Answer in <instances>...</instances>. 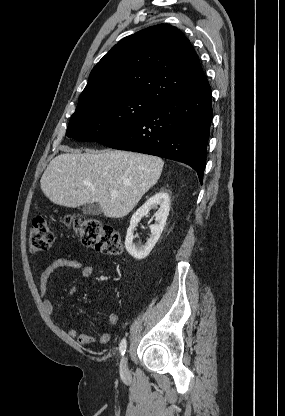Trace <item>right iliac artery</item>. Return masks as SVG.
<instances>
[{"mask_svg":"<svg viewBox=\"0 0 285 416\" xmlns=\"http://www.w3.org/2000/svg\"><path fill=\"white\" fill-rule=\"evenodd\" d=\"M126 348H127V343H126V340L123 339L119 345V350H120L121 355L125 354Z\"/></svg>","mask_w":285,"mask_h":416,"instance_id":"right-iliac-artery-1","label":"right iliac artery"}]
</instances>
